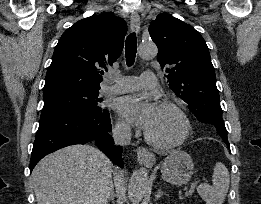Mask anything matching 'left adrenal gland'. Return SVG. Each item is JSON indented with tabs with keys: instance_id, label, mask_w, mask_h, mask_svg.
<instances>
[{
	"instance_id": "1",
	"label": "left adrenal gland",
	"mask_w": 261,
	"mask_h": 204,
	"mask_svg": "<svg viewBox=\"0 0 261 204\" xmlns=\"http://www.w3.org/2000/svg\"><path fill=\"white\" fill-rule=\"evenodd\" d=\"M162 195H166V194L161 189H158L155 199L158 200Z\"/></svg>"
}]
</instances>
